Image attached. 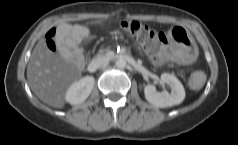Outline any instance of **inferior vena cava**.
I'll return each instance as SVG.
<instances>
[{"label": "inferior vena cava", "mask_w": 238, "mask_h": 145, "mask_svg": "<svg viewBox=\"0 0 238 145\" xmlns=\"http://www.w3.org/2000/svg\"><path fill=\"white\" fill-rule=\"evenodd\" d=\"M107 59L105 57H97L93 59L89 64L90 71H95L101 68L104 64H106Z\"/></svg>", "instance_id": "1"}]
</instances>
